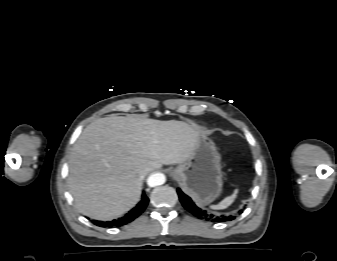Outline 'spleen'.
Segmentation results:
<instances>
[{"label": "spleen", "mask_w": 337, "mask_h": 261, "mask_svg": "<svg viewBox=\"0 0 337 261\" xmlns=\"http://www.w3.org/2000/svg\"><path fill=\"white\" fill-rule=\"evenodd\" d=\"M237 193H238V190L236 189L231 196H228V197L224 198L217 205H212L211 208H213V209H225V208H227L229 205H231L233 203L234 199L236 198Z\"/></svg>", "instance_id": "1"}]
</instances>
